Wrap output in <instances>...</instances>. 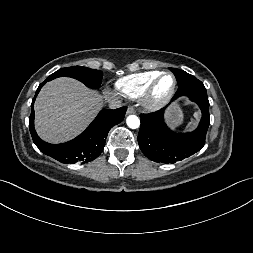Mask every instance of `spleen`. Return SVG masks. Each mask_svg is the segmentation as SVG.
I'll return each instance as SVG.
<instances>
[{
	"mask_svg": "<svg viewBox=\"0 0 253 253\" xmlns=\"http://www.w3.org/2000/svg\"><path fill=\"white\" fill-rule=\"evenodd\" d=\"M195 118L197 119L199 117V114L198 113H195L194 114ZM195 124V122H191L188 126H187V129H190L193 125Z\"/></svg>",
	"mask_w": 253,
	"mask_h": 253,
	"instance_id": "3e777b00",
	"label": "spleen"
}]
</instances>
